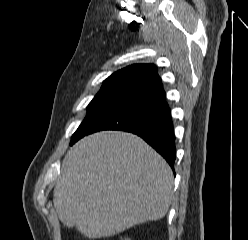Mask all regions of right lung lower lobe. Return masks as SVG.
Masks as SVG:
<instances>
[{"label":"right lung lower lobe","mask_w":248,"mask_h":240,"mask_svg":"<svg viewBox=\"0 0 248 240\" xmlns=\"http://www.w3.org/2000/svg\"><path fill=\"white\" fill-rule=\"evenodd\" d=\"M102 130H120L140 136L174 168L175 135L165 93L136 101L116 111L98 122L85 135Z\"/></svg>","instance_id":"obj_1"}]
</instances>
